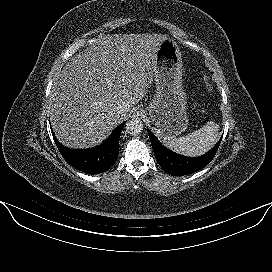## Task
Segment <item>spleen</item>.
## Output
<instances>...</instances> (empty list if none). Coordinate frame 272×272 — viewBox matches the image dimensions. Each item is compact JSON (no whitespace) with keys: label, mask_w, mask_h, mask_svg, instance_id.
Masks as SVG:
<instances>
[{"label":"spleen","mask_w":272,"mask_h":272,"mask_svg":"<svg viewBox=\"0 0 272 272\" xmlns=\"http://www.w3.org/2000/svg\"><path fill=\"white\" fill-rule=\"evenodd\" d=\"M219 125L214 121L180 138L165 136L163 143L177 153L186 156H198L207 152L217 141Z\"/></svg>","instance_id":"spleen-1"}]
</instances>
